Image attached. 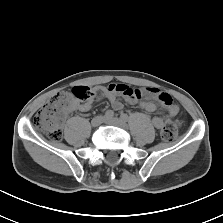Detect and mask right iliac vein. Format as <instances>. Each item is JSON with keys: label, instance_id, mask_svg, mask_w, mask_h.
Returning <instances> with one entry per match:
<instances>
[{"label": "right iliac vein", "instance_id": "obj_1", "mask_svg": "<svg viewBox=\"0 0 223 223\" xmlns=\"http://www.w3.org/2000/svg\"><path fill=\"white\" fill-rule=\"evenodd\" d=\"M103 121H104V117L101 116V115H98V116H95V117L92 119V121H91V125H92L93 127H98V126H100V125L103 123Z\"/></svg>", "mask_w": 223, "mask_h": 223}]
</instances>
